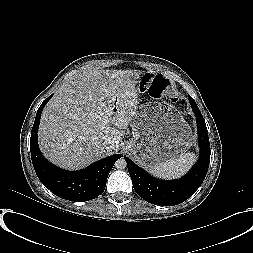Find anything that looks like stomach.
Listing matches in <instances>:
<instances>
[{"mask_svg":"<svg viewBox=\"0 0 253 253\" xmlns=\"http://www.w3.org/2000/svg\"><path fill=\"white\" fill-rule=\"evenodd\" d=\"M130 126L132 139L126 148L145 168L182 156L192 144L190 126L169 102L150 101L137 106Z\"/></svg>","mask_w":253,"mask_h":253,"instance_id":"obj_1","label":"stomach"}]
</instances>
